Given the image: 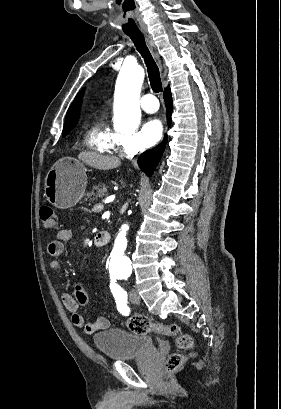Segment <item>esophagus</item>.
Here are the masks:
<instances>
[{"label":"esophagus","mask_w":281,"mask_h":409,"mask_svg":"<svg viewBox=\"0 0 281 409\" xmlns=\"http://www.w3.org/2000/svg\"><path fill=\"white\" fill-rule=\"evenodd\" d=\"M143 34H144V36H145V38L147 40V43H148V45L150 47V50H151L152 54L154 55L156 60L160 63L159 54H158L157 48L155 46V43L153 41V38H152L151 34L148 31H143Z\"/></svg>","instance_id":"1"}]
</instances>
